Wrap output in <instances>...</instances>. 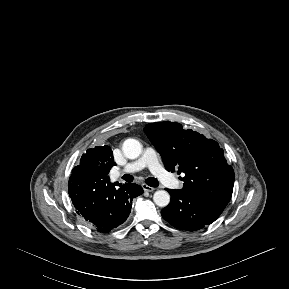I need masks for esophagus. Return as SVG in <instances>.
Segmentation results:
<instances>
[{
	"label": "esophagus",
	"mask_w": 289,
	"mask_h": 289,
	"mask_svg": "<svg viewBox=\"0 0 289 289\" xmlns=\"http://www.w3.org/2000/svg\"><path fill=\"white\" fill-rule=\"evenodd\" d=\"M142 188H143L144 191H147V192H153L155 190V188L150 187V186H148L146 184H142Z\"/></svg>",
	"instance_id": "esophagus-1"
}]
</instances>
